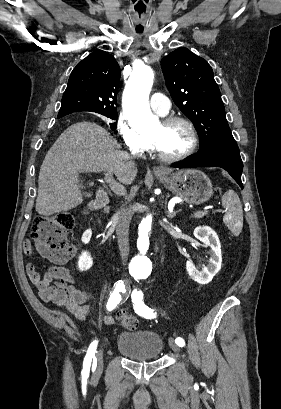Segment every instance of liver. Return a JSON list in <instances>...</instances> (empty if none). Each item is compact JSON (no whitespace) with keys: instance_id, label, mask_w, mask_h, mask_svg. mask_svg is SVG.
<instances>
[{"instance_id":"1","label":"liver","mask_w":281,"mask_h":409,"mask_svg":"<svg viewBox=\"0 0 281 409\" xmlns=\"http://www.w3.org/2000/svg\"><path fill=\"white\" fill-rule=\"evenodd\" d=\"M116 138L96 122H75L49 148L38 176L36 211L49 217L75 209L83 202L80 172H114L131 184L138 168L129 152L118 150Z\"/></svg>"}]
</instances>
